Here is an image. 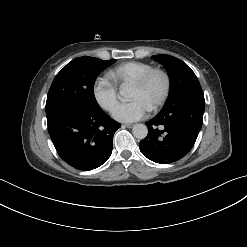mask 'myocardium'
Returning a JSON list of instances; mask_svg holds the SVG:
<instances>
[{
    "label": "myocardium",
    "instance_id": "obj_1",
    "mask_svg": "<svg viewBox=\"0 0 247 247\" xmlns=\"http://www.w3.org/2000/svg\"><path fill=\"white\" fill-rule=\"evenodd\" d=\"M156 74H159L164 78L165 87L161 97L150 107V110L152 111L160 108L167 101L170 95L172 88V79L170 74L164 69L152 68L151 70H149L148 72H146L144 75H142L140 78H138L133 82V85L143 88L149 83L151 78Z\"/></svg>",
    "mask_w": 247,
    "mask_h": 247
}]
</instances>
